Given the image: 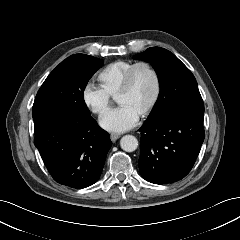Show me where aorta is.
<instances>
[{
	"label": "aorta",
	"mask_w": 240,
	"mask_h": 240,
	"mask_svg": "<svg viewBox=\"0 0 240 240\" xmlns=\"http://www.w3.org/2000/svg\"><path fill=\"white\" fill-rule=\"evenodd\" d=\"M120 146L126 152H133L138 147V140L133 135H125L120 140Z\"/></svg>",
	"instance_id": "762f6f07"
}]
</instances>
